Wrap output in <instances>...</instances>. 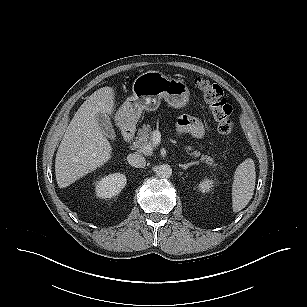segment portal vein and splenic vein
<instances>
[{"instance_id":"18ae733b","label":"portal vein and splenic vein","mask_w":307,"mask_h":307,"mask_svg":"<svg viewBox=\"0 0 307 307\" xmlns=\"http://www.w3.org/2000/svg\"><path fill=\"white\" fill-rule=\"evenodd\" d=\"M160 140H161V135H160V132L159 131H154L153 134H152V141H153V144L155 145H158L160 143ZM154 145H147L145 147L146 150H152V147Z\"/></svg>"}]
</instances>
